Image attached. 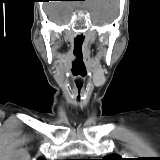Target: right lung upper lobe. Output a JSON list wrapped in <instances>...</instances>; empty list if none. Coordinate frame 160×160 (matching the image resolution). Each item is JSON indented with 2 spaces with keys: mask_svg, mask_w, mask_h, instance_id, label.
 <instances>
[{
  "mask_svg": "<svg viewBox=\"0 0 160 160\" xmlns=\"http://www.w3.org/2000/svg\"><path fill=\"white\" fill-rule=\"evenodd\" d=\"M38 160H45L44 158H39Z\"/></svg>",
  "mask_w": 160,
  "mask_h": 160,
  "instance_id": "cb5924a9",
  "label": "right lung upper lobe"
}]
</instances>
